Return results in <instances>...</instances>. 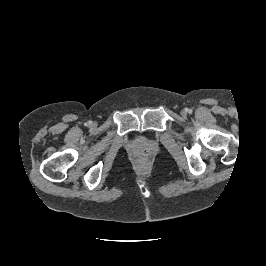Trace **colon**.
I'll return each mask as SVG.
<instances>
[{
	"instance_id": "1",
	"label": "colon",
	"mask_w": 266,
	"mask_h": 266,
	"mask_svg": "<svg viewBox=\"0 0 266 266\" xmlns=\"http://www.w3.org/2000/svg\"><path fill=\"white\" fill-rule=\"evenodd\" d=\"M146 164H147V163H146L145 160H142V161L139 162V166H140V167H145Z\"/></svg>"
}]
</instances>
